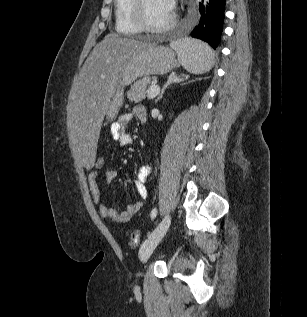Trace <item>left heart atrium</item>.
<instances>
[{
  "instance_id": "obj_1",
  "label": "left heart atrium",
  "mask_w": 307,
  "mask_h": 317,
  "mask_svg": "<svg viewBox=\"0 0 307 317\" xmlns=\"http://www.w3.org/2000/svg\"><path fill=\"white\" fill-rule=\"evenodd\" d=\"M166 1H167V4L170 6V8L173 10L175 6L174 0H166Z\"/></svg>"
}]
</instances>
